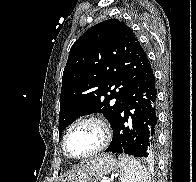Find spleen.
Segmentation results:
<instances>
[{"mask_svg":"<svg viewBox=\"0 0 196 182\" xmlns=\"http://www.w3.org/2000/svg\"><path fill=\"white\" fill-rule=\"evenodd\" d=\"M118 160L121 182H150L146 168L133 157L121 154Z\"/></svg>","mask_w":196,"mask_h":182,"instance_id":"3e777b00","label":"spleen"}]
</instances>
